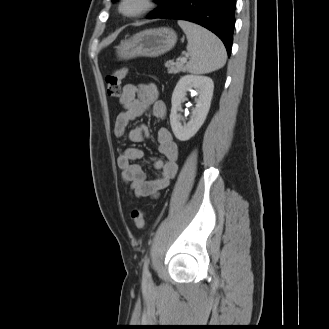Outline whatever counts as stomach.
Listing matches in <instances>:
<instances>
[{
	"mask_svg": "<svg viewBox=\"0 0 329 329\" xmlns=\"http://www.w3.org/2000/svg\"><path fill=\"white\" fill-rule=\"evenodd\" d=\"M177 35L170 28L148 29L121 41L116 47L120 59L139 56L157 57L170 51L176 44Z\"/></svg>",
	"mask_w": 329,
	"mask_h": 329,
	"instance_id": "1",
	"label": "stomach"
}]
</instances>
